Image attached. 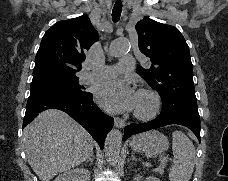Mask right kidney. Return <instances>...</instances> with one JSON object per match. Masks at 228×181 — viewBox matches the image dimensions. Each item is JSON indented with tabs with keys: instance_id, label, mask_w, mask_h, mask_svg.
Returning a JSON list of instances; mask_svg holds the SVG:
<instances>
[{
	"instance_id": "obj_1",
	"label": "right kidney",
	"mask_w": 228,
	"mask_h": 181,
	"mask_svg": "<svg viewBox=\"0 0 228 181\" xmlns=\"http://www.w3.org/2000/svg\"><path fill=\"white\" fill-rule=\"evenodd\" d=\"M55 181H90V173L86 169H71L56 177Z\"/></svg>"
}]
</instances>
